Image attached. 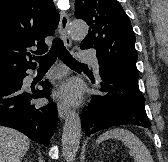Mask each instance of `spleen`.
Masks as SVG:
<instances>
[{
	"label": "spleen",
	"instance_id": "1",
	"mask_svg": "<svg viewBox=\"0 0 168 162\" xmlns=\"http://www.w3.org/2000/svg\"><path fill=\"white\" fill-rule=\"evenodd\" d=\"M112 138L122 141V143L129 148V154L134 158L135 162H154L149 150L143 142L126 129H110L101 134L96 140V143H101L102 141Z\"/></svg>",
	"mask_w": 168,
	"mask_h": 162
}]
</instances>
